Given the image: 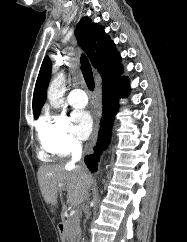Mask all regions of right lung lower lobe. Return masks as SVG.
<instances>
[{"instance_id": "98d812e1", "label": "right lung lower lobe", "mask_w": 187, "mask_h": 242, "mask_svg": "<svg viewBox=\"0 0 187 242\" xmlns=\"http://www.w3.org/2000/svg\"><path fill=\"white\" fill-rule=\"evenodd\" d=\"M128 78L119 77L103 85V118L101 120L98 142L94 153L85 157V163L90 171L97 170L100 154L109 143L113 117L118 110V100L125 97L129 91Z\"/></svg>"}]
</instances>
